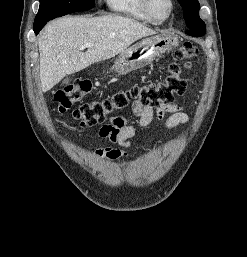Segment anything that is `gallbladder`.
<instances>
[{"label":"gallbladder","instance_id":"obj_1","mask_svg":"<svg viewBox=\"0 0 247 257\" xmlns=\"http://www.w3.org/2000/svg\"><path fill=\"white\" fill-rule=\"evenodd\" d=\"M69 82H70L69 77H65V78L63 79V81H62V84H63V85H67V84H69Z\"/></svg>","mask_w":247,"mask_h":257}]
</instances>
